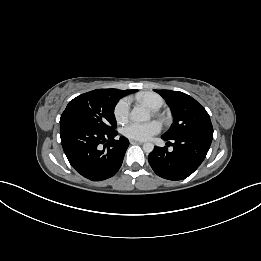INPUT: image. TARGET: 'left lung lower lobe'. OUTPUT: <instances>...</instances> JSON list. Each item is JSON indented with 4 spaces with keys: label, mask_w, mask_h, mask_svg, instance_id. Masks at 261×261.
Returning <instances> with one entry per match:
<instances>
[{
    "label": "left lung lower lobe",
    "mask_w": 261,
    "mask_h": 261,
    "mask_svg": "<svg viewBox=\"0 0 261 261\" xmlns=\"http://www.w3.org/2000/svg\"><path fill=\"white\" fill-rule=\"evenodd\" d=\"M212 138L209 135H183L173 139L162 136L167 144L173 146V151L169 152L166 147H155L148 156L149 164L164 179H185L205 159Z\"/></svg>",
    "instance_id": "0a47b994"
}]
</instances>
